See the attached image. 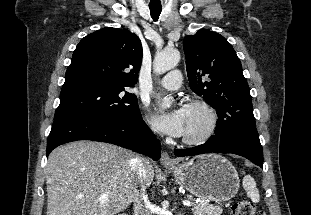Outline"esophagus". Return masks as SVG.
Segmentation results:
<instances>
[{"label":"esophagus","mask_w":311,"mask_h":215,"mask_svg":"<svg viewBox=\"0 0 311 215\" xmlns=\"http://www.w3.org/2000/svg\"><path fill=\"white\" fill-rule=\"evenodd\" d=\"M160 162L162 165L164 166H173L175 165V161L170 157V155L168 154L167 151H163L161 158H160Z\"/></svg>","instance_id":"1"}]
</instances>
